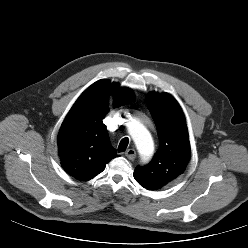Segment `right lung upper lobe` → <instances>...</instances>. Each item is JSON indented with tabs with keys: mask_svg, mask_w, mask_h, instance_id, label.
Masks as SVG:
<instances>
[{
	"mask_svg": "<svg viewBox=\"0 0 248 248\" xmlns=\"http://www.w3.org/2000/svg\"><path fill=\"white\" fill-rule=\"evenodd\" d=\"M113 108L133 100L131 89L108 80L88 87L67 114L58 135V148L64 170L80 181H88L117 156L102 119L109 112V93Z\"/></svg>",
	"mask_w": 248,
	"mask_h": 248,
	"instance_id": "obj_1",
	"label": "right lung upper lobe"
}]
</instances>
